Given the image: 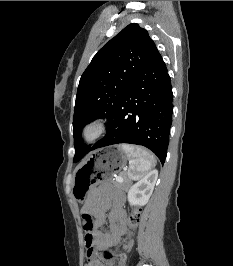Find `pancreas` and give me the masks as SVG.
Wrapping results in <instances>:
<instances>
[{
  "label": "pancreas",
  "instance_id": "obj_1",
  "mask_svg": "<svg viewBox=\"0 0 233 266\" xmlns=\"http://www.w3.org/2000/svg\"><path fill=\"white\" fill-rule=\"evenodd\" d=\"M128 183H129L128 180L122 181V182H118V181L115 182V184L118 185L119 187H126Z\"/></svg>",
  "mask_w": 233,
  "mask_h": 266
}]
</instances>
